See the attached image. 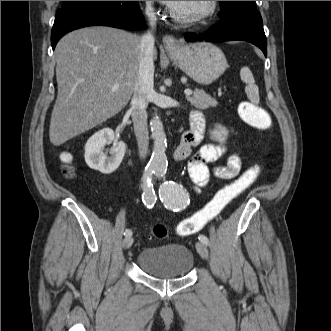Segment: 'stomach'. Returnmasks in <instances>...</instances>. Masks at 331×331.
Listing matches in <instances>:
<instances>
[{
  "label": "stomach",
  "mask_w": 331,
  "mask_h": 331,
  "mask_svg": "<svg viewBox=\"0 0 331 331\" xmlns=\"http://www.w3.org/2000/svg\"><path fill=\"white\" fill-rule=\"evenodd\" d=\"M170 56L183 72L203 85L217 80L228 67L224 53L210 42L181 44Z\"/></svg>",
  "instance_id": "1"
}]
</instances>
